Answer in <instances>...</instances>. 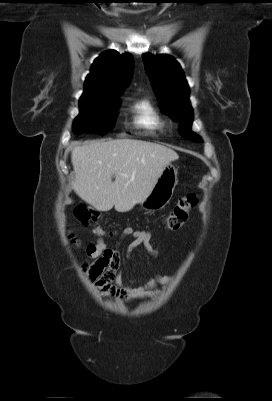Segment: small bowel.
<instances>
[{
	"label": "small bowel",
	"mask_w": 272,
	"mask_h": 401,
	"mask_svg": "<svg viewBox=\"0 0 272 401\" xmlns=\"http://www.w3.org/2000/svg\"><path fill=\"white\" fill-rule=\"evenodd\" d=\"M126 237L132 238L129 252L142 247L148 253L156 254L150 244L149 232L127 226L121 234L122 239ZM86 254L87 260L83 263V271L101 291L119 300L144 299L156 296L160 292L155 288L156 285L167 286L172 281L171 276L155 275L138 287L125 285L123 273L120 270V255L117 246H107L102 240L90 244L86 249Z\"/></svg>",
	"instance_id": "1"
}]
</instances>
